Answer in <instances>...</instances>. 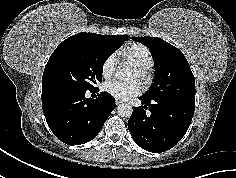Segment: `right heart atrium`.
<instances>
[{"instance_id": "obj_1", "label": "right heart atrium", "mask_w": 236, "mask_h": 178, "mask_svg": "<svg viewBox=\"0 0 236 178\" xmlns=\"http://www.w3.org/2000/svg\"><path fill=\"white\" fill-rule=\"evenodd\" d=\"M117 65V57L115 54L108 55L102 63L101 74L104 79H109L113 76Z\"/></svg>"}]
</instances>
